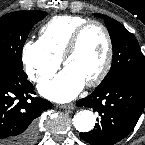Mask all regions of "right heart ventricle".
I'll list each match as a JSON object with an SVG mask.
<instances>
[{
    "mask_svg": "<svg viewBox=\"0 0 145 145\" xmlns=\"http://www.w3.org/2000/svg\"><path fill=\"white\" fill-rule=\"evenodd\" d=\"M89 19L77 15L54 16L39 30V42L53 57L61 59L74 31Z\"/></svg>",
    "mask_w": 145,
    "mask_h": 145,
    "instance_id": "obj_1",
    "label": "right heart ventricle"
}]
</instances>
